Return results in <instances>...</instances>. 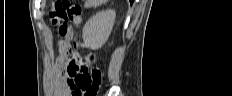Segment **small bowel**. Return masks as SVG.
<instances>
[{
	"instance_id": "1",
	"label": "small bowel",
	"mask_w": 232,
	"mask_h": 96,
	"mask_svg": "<svg viewBox=\"0 0 232 96\" xmlns=\"http://www.w3.org/2000/svg\"><path fill=\"white\" fill-rule=\"evenodd\" d=\"M73 30L76 28L74 25L71 27ZM68 43L63 41L60 43V55L57 61V74L53 83L52 92L55 96H74V74L67 73L68 58Z\"/></svg>"
}]
</instances>
